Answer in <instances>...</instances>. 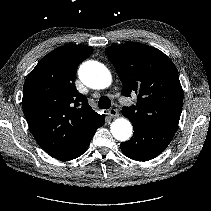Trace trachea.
<instances>
[{
    "label": "trachea",
    "mask_w": 211,
    "mask_h": 211,
    "mask_svg": "<svg viewBox=\"0 0 211 211\" xmlns=\"http://www.w3.org/2000/svg\"><path fill=\"white\" fill-rule=\"evenodd\" d=\"M98 106L100 109H109L111 107V101L108 97L102 96L99 99Z\"/></svg>",
    "instance_id": "3493384b"
}]
</instances>
